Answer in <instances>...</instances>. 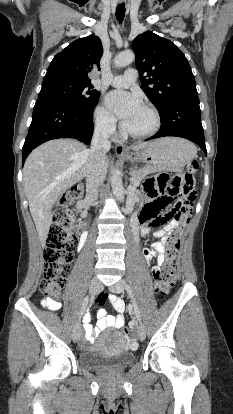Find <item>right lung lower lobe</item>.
<instances>
[{"instance_id": "98d812e1", "label": "right lung lower lobe", "mask_w": 233, "mask_h": 414, "mask_svg": "<svg viewBox=\"0 0 233 414\" xmlns=\"http://www.w3.org/2000/svg\"><path fill=\"white\" fill-rule=\"evenodd\" d=\"M93 109L70 106L52 98H38L22 149L24 163L32 149L56 138H75L89 144L93 133Z\"/></svg>"}]
</instances>
